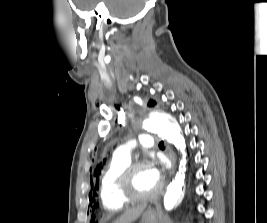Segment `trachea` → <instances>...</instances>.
Returning a JSON list of instances; mask_svg holds the SVG:
<instances>
[{
	"instance_id": "3493384b",
	"label": "trachea",
	"mask_w": 267,
	"mask_h": 223,
	"mask_svg": "<svg viewBox=\"0 0 267 223\" xmlns=\"http://www.w3.org/2000/svg\"><path fill=\"white\" fill-rule=\"evenodd\" d=\"M159 147H164V142H163V141H161V142L159 143Z\"/></svg>"
}]
</instances>
